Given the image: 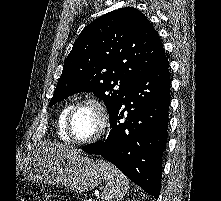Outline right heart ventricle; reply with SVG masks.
<instances>
[{
  "label": "right heart ventricle",
  "instance_id": "right-heart-ventricle-1",
  "mask_svg": "<svg viewBox=\"0 0 221 201\" xmlns=\"http://www.w3.org/2000/svg\"><path fill=\"white\" fill-rule=\"evenodd\" d=\"M71 104L65 105L59 112L57 117V133L61 140L70 142L65 129L66 117L71 108Z\"/></svg>",
  "mask_w": 221,
  "mask_h": 201
}]
</instances>
